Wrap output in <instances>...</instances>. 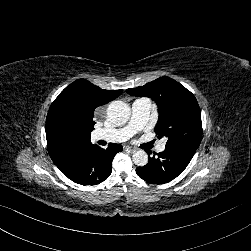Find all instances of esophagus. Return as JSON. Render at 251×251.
<instances>
[{
    "instance_id": "34e87169",
    "label": "esophagus",
    "mask_w": 251,
    "mask_h": 251,
    "mask_svg": "<svg viewBox=\"0 0 251 251\" xmlns=\"http://www.w3.org/2000/svg\"><path fill=\"white\" fill-rule=\"evenodd\" d=\"M125 148L127 150H129L131 153L136 151V149L134 147H131V146H126Z\"/></svg>"
}]
</instances>
